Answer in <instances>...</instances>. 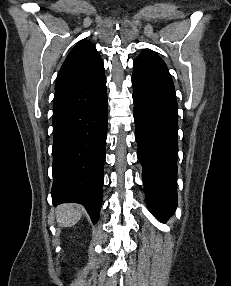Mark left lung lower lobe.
<instances>
[{
  "instance_id": "obj_1",
  "label": "left lung lower lobe",
  "mask_w": 231,
  "mask_h": 286,
  "mask_svg": "<svg viewBox=\"0 0 231 286\" xmlns=\"http://www.w3.org/2000/svg\"><path fill=\"white\" fill-rule=\"evenodd\" d=\"M132 85L145 195L151 213L164 220L177 206L178 106L174 84L166 65L136 58Z\"/></svg>"
}]
</instances>
